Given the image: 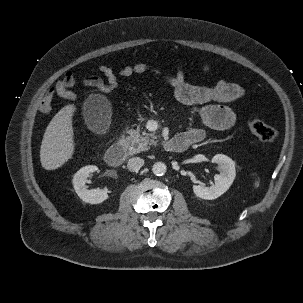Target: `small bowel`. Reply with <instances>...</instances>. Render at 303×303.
Returning a JSON list of instances; mask_svg holds the SVG:
<instances>
[{"label": "small bowel", "instance_id": "obj_1", "mask_svg": "<svg viewBox=\"0 0 303 303\" xmlns=\"http://www.w3.org/2000/svg\"><path fill=\"white\" fill-rule=\"evenodd\" d=\"M202 69L209 72L211 66L208 63H203ZM95 71L102 73L105 79L90 75L84 77L81 82L100 92H105L104 86L106 83L113 85L112 90L116 89L118 76L131 77L133 75L151 74L169 85L173 90L175 99L181 104L189 106L192 113L199 118L202 124L182 133L192 141V144L204 139L206 128L220 131L233 128L236 124V114L226 104L234 102L244 95V89L240 85L226 79H221L210 86L191 84L187 81L186 71L181 65H177L174 72L166 71L145 62L133 63L119 70H113L102 65L97 67ZM76 83L77 79L74 74L67 72L43 95L38 106L39 112L45 115L51 112V103L54 96L72 102L77 101L78 96L73 91Z\"/></svg>", "mask_w": 303, "mask_h": 303}]
</instances>
